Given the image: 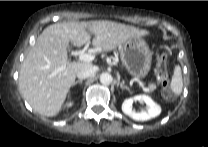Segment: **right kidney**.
Wrapping results in <instances>:
<instances>
[{
	"mask_svg": "<svg viewBox=\"0 0 208 147\" xmlns=\"http://www.w3.org/2000/svg\"><path fill=\"white\" fill-rule=\"evenodd\" d=\"M72 102H69V103H67L66 105H67V107H71L72 106Z\"/></svg>",
	"mask_w": 208,
	"mask_h": 147,
	"instance_id": "ca27d5eb",
	"label": "right kidney"
}]
</instances>
